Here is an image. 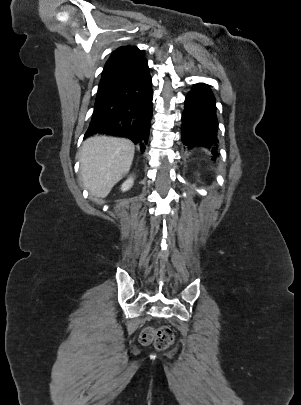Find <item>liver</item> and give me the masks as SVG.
<instances>
[{"instance_id":"1","label":"liver","mask_w":301,"mask_h":405,"mask_svg":"<svg viewBox=\"0 0 301 405\" xmlns=\"http://www.w3.org/2000/svg\"><path fill=\"white\" fill-rule=\"evenodd\" d=\"M135 147L128 139L93 136L80 150V175L91 195L105 198L132 165Z\"/></svg>"}]
</instances>
